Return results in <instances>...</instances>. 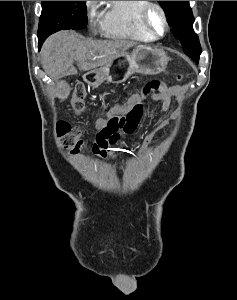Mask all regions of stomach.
Masks as SVG:
<instances>
[{"label":"stomach","instance_id":"1","mask_svg":"<svg viewBox=\"0 0 237 300\" xmlns=\"http://www.w3.org/2000/svg\"><path fill=\"white\" fill-rule=\"evenodd\" d=\"M168 55L164 49L151 45H138L130 53H119L111 63L93 71L96 83H124L134 73L159 75L168 65Z\"/></svg>","mask_w":237,"mask_h":300}]
</instances>
